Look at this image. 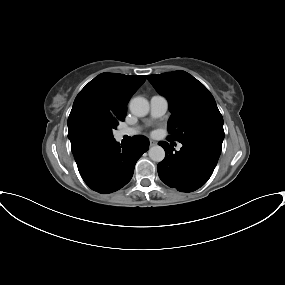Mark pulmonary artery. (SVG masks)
Listing matches in <instances>:
<instances>
[{
  "instance_id": "e3ab8cb5",
  "label": "pulmonary artery",
  "mask_w": 285,
  "mask_h": 285,
  "mask_svg": "<svg viewBox=\"0 0 285 285\" xmlns=\"http://www.w3.org/2000/svg\"><path fill=\"white\" fill-rule=\"evenodd\" d=\"M168 109V100L162 95H154L150 99V113L153 118L163 116ZM138 132L137 128H124L118 133L119 137L133 136ZM182 144H178L177 148L180 149Z\"/></svg>"
}]
</instances>
